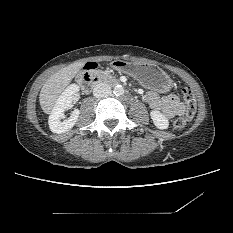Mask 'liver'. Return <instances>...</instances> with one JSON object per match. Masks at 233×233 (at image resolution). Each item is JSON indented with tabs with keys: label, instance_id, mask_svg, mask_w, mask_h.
Wrapping results in <instances>:
<instances>
[{
	"label": "liver",
	"instance_id": "obj_1",
	"mask_svg": "<svg viewBox=\"0 0 233 233\" xmlns=\"http://www.w3.org/2000/svg\"><path fill=\"white\" fill-rule=\"evenodd\" d=\"M84 62H74L54 73L43 85L39 95L44 113L50 114L61 93L84 66Z\"/></svg>",
	"mask_w": 233,
	"mask_h": 233
}]
</instances>
